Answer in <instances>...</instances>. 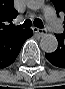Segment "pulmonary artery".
Masks as SVG:
<instances>
[{
    "label": "pulmonary artery",
    "instance_id": "obj_1",
    "mask_svg": "<svg viewBox=\"0 0 65 89\" xmlns=\"http://www.w3.org/2000/svg\"><path fill=\"white\" fill-rule=\"evenodd\" d=\"M44 16L47 21L48 27L55 33L61 32V25L60 22L54 15L53 10L50 7H46L44 9Z\"/></svg>",
    "mask_w": 65,
    "mask_h": 89
}]
</instances>
